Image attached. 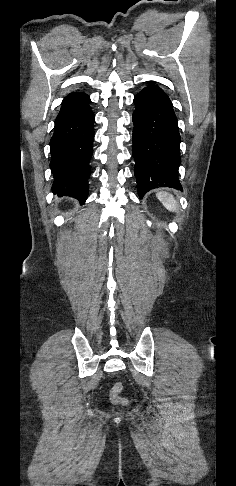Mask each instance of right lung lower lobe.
Segmentation results:
<instances>
[{
    "label": "right lung lower lobe",
    "mask_w": 236,
    "mask_h": 486,
    "mask_svg": "<svg viewBox=\"0 0 236 486\" xmlns=\"http://www.w3.org/2000/svg\"><path fill=\"white\" fill-rule=\"evenodd\" d=\"M89 102L85 93L65 98L50 140L52 190L58 196H71L81 203L88 195L89 161L93 154L95 118Z\"/></svg>",
    "instance_id": "right-lung-lower-lobe-1"
}]
</instances>
